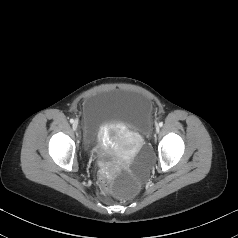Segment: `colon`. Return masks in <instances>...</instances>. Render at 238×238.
Here are the masks:
<instances>
[{
    "label": "colon",
    "mask_w": 238,
    "mask_h": 238,
    "mask_svg": "<svg viewBox=\"0 0 238 238\" xmlns=\"http://www.w3.org/2000/svg\"><path fill=\"white\" fill-rule=\"evenodd\" d=\"M111 184H112V181L107 176H104L100 179V185L105 190H108L111 187Z\"/></svg>",
    "instance_id": "5ec220e1"
}]
</instances>
